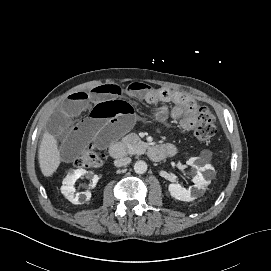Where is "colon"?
Returning <instances> with one entry per match:
<instances>
[{
    "label": "colon",
    "instance_id": "obj_1",
    "mask_svg": "<svg viewBox=\"0 0 271 271\" xmlns=\"http://www.w3.org/2000/svg\"><path fill=\"white\" fill-rule=\"evenodd\" d=\"M179 124L185 130H193L196 140L203 144H209L215 135L214 117L210 109L193 101L187 102ZM102 164L103 156L93 146H89L76 161V166L81 168H98Z\"/></svg>",
    "mask_w": 271,
    "mask_h": 271
}]
</instances>
